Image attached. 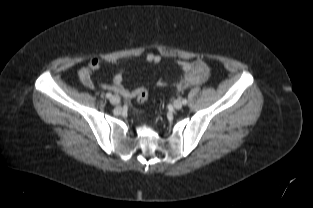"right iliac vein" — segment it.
<instances>
[{"label": "right iliac vein", "mask_w": 313, "mask_h": 208, "mask_svg": "<svg viewBox=\"0 0 313 208\" xmlns=\"http://www.w3.org/2000/svg\"><path fill=\"white\" fill-rule=\"evenodd\" d=\"M110 102L113 104V105H118L120 103V98L119 96L117 95H114L110 98Z\"/></svg>", "instance_id": "obj_1"}]
</instances>
